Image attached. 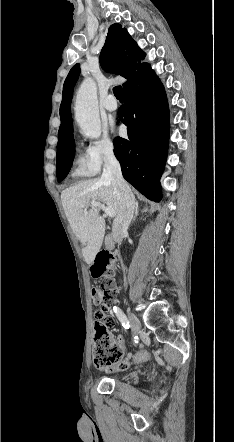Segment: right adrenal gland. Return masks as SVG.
<instances>
[{
  "label": "right adrenal gland",
  "instance_id": "2a0ac1e0",
  "mask_svg": "<svg viewBox=\"0 0 234 442\" xmlns=\"http://www.w3.org/2000/svg\"><path fill=\"white\" fill-rule=\"evenodd\" d=\"M146 211H147V209L145 208V209L143 210V212H146ZM138 212H139V206H138V201H136V204H135V213H134L133 221L136 220V218H137V216H138Z\"/></svg>",
  "mask_w": 234,
  "mask_h": 442
}]
</instances>
